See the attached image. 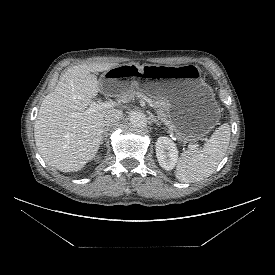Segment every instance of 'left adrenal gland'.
<instances>
[{"label":"left adrenal gland","mask_w":275,"mask_h":275,"mask_svg":"<svg viewBox=\"0 0 275 275\" xmlns=\"http://www.w3.org/2000/svg\"><path fill=\"white\" fill-rule=\"evenodd\" d=\"M150 120H151V122L156 123L158 126L161 125V124L159 123V121H158L154 116H151V117H150Z\"/></svg>","instance_id":"obj_1"}]
</instances>
